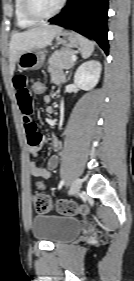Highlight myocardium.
Masks as SVG:
<instances>
[{"label": "myocardium", "mask_w": 134, "mask_h": 281, "mask_svg": "<svg viewBox=\"0 0 134 281\" xmlns=\"http://www.w3.org/2000/svg\"><path fill=\"white\" fill-rule=\"evenodd\" d=\"M67 0H61L58 4V6L50 13H40L34 6V1L33 0H22L23 3V10L25 14L35 20V21H44L48 20L54 16H56L60 11L63 9L65 6Z\"/></svg>", "instance_id": "obj_1"}]
</instances>
